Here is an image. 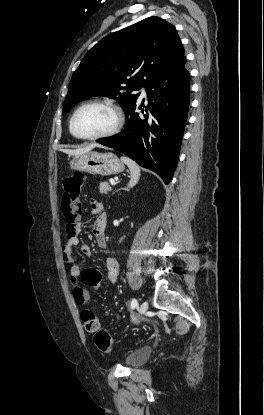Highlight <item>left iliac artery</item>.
Segmentation results:
<instances>
[{
  "label": "left iliac artery",
  "instance_id": "obj_1",
  "mask_svg": "<svg viewBox=\"0 0 264 415\" xmlns=\"http://www.w3.org/2000/svg\"><path fill=\"white\" fill-rule=\"evenodd\" d=\"M137 305H138L137 300H136L135 298H133V299L131 300V303H130V307H131V309H134Z\"/></svg>",
  "mask_w": 264,
  "mask_h": 415
}]
</instances>
